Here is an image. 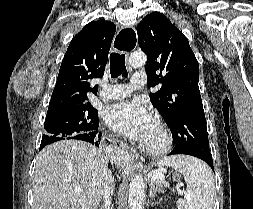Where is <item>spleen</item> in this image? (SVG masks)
I'll return each instance as SVG.
<instances>
[{"mask_svg": "<svg viewBox=\"0 0 253 209\" xmlns=\"http://www.w3.org/2000/svg\"><path fill=\"white\" fill-rule=\"evenodd\" d=\"M157 166L172 167L183 174L187 193L177 201L178 209H212L214 179L211 169L201 160L190 156L166 157Z\"/></svg>", "mask_w": 253, "mask_h": 209, "instance_id": "1", "label": "spleen"}]
</instances>
